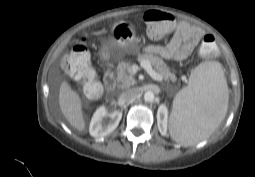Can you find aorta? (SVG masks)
<instances>
[{
	"instance_id": "1",
	"label": "aorta",
	"mask_w": 255,
	"mask_h": 177,
	"mask_svg": "<svg viewBox=\"0 0 255 177\" xmlns=\"http://www.w3.org/2000/svg\"><path fill=\"white\" fill-rule=\"evenodd\" d=\"M154 99H155V95H154V93H153L152 91H147V92H145V94H144V100H145L146 102H153Z\"/></svg>"
}]
</instances>
